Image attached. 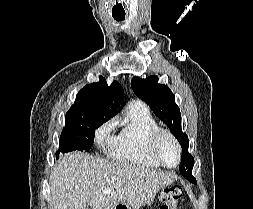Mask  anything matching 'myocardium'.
I'll return each mask as SVG.
<instances>
[{
    "mask_svg": "<svg viewBox=\"0 0 253 209\" xmlns=\"http://www.w3.org/2000/svg\"><path fill=\"white\" fill-rule=\"evenodd\" d=\"M163 136H168L174 142V144L176 146L178 159H177V162H176L175 165H172V166L167 165L162 160L160 155L158 154L157 147H158L160 139ZM147 153L160 166H163V167L168 168V169L176 168L180 164L181 158H182V148H181V145H180L178 139L176 138V136L170 130H168L166 128H158L157 130H155L151 134V136L148 140V143H147Z\"/></svg>",
    "mask_w": 253,
    "mask_h": 209,
    "instance_id": "f54148a6",
    "label": "myocardium"
}]
</instances>
